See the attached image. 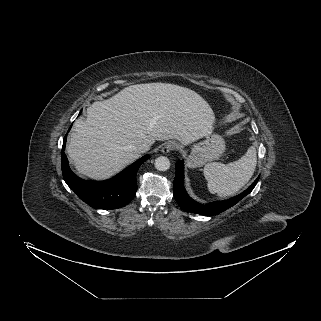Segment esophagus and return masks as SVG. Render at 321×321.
I'll use <instances>...</instances> for the list:
<instances>
[{
    "label": "esophagus",
    "mask_w": 321,
    "mask_h": 321,
    "mask_svg": "<svg viewBox=\"0 0 321 321\" xmlns=\"http://www.w3.org/2000/svg\"><path fill=\"white\" fill-rule=\"evenodd\" d=\"M176 148H178V143L175 141H169L164 145L161 151L162 153L167 154Z\"/></svg>",
    "instance_id": "34e87169"
}]
</instances>
